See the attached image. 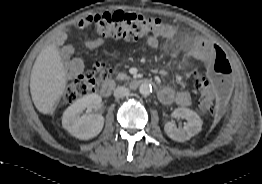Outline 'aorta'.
Wrapping results in <instances>:
<instances>
[{"instance_id":"aorta-1","label":"aorta","mask_w":262,"mask_h":184,"mask_svg":"<svg viewBox=\"0 0 262 184\" xmlns=\"http://www.w3.org/2000/svg\"><path fill=\"white\" fill-rule=\"evenodd\" d=\"M139 92L143 96H148L152 92V86L148 83H142L139 86Z\"/></svg>"}]
</instances>
